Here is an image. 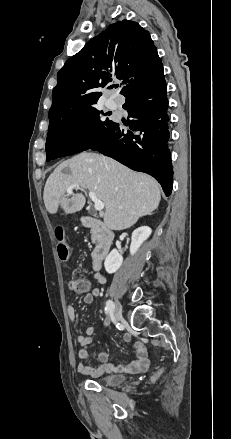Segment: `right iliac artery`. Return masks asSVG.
Masks as SVG:
<instances>
[{
  "label": "right iliac artery",
  "instance_id": "82829eb1",
  "mask_svg": "<svg viewBox=\"0 0 231 439\" xmlns=\"http://www.w3.org/2000/svg\"><path fill=\"white\" fill-rule=\"evenodd\" d=\"M113 309H114V303L111 300H108L106 302V306H105V313L106 314H112L113 313Z\"/></svg>",
  "mask_w": 231,
  "mask_h": 439
}]
</instances>
